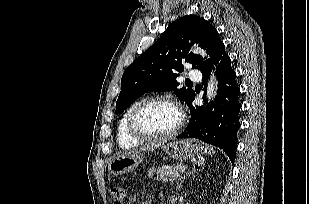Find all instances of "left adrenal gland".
<instances>
[{
	"mask_svg": "<svg viewBox=\"0 0 309 204\" xmlns=\"http://www.w3.org/2000/svg\"><path fill=\"white\" fill-rule=\"evenodd\" d=\"M202 164V162H198V165ZM196 169H195V166L192 168V169H189L184 176L180 177L178 183H177V187H176V190H180L181 189V186H182V182L184 181V179L188 176H191V175H194L196 173Z\"/></svg>",
	"mask_w": 309,
	"mask_h": 204,
	"instance_id": "left-adrenal-gland-1",
	"label": "left adrenal gland"
}]
</instances>
